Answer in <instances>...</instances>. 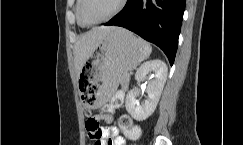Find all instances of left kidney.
<instances>
[{"label": "left kidney", "instance_id": "1", "mask_svg": "<svg viewBox=\"0 0 243 145\" xmlns=\"http://www.w3.org/2000/svg\"><path fill=\"white\" fill-rule=\"evenodd\" d=\"M151 73L154 74V79L147 85L148 98L142 105H138L136 100L138 88L130 90L126 95V110L137 121L146 120L154 113L167 79V65L159 59L147 61L137 69L135 79L143 82Z\"/></svg>", "mask_w": 243, "mask_h": 145}]
</instances>
